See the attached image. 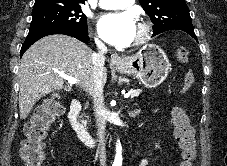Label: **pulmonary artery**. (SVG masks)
<instances>
[{
	"mask_svg": "<svg viewBox=\"0 0 227 166\" xmlns=\"http://www.w3.org/2000/svg\"><path fill=\"white\" fill-rule=\"evenodd\" d=\"M134 0H99V6L103 9H122L131 6Z\"/></svg>",
	"mask_w": 227,
	"mask_h": 166,
	"instance_id": "obj_1",
	"label": "pulmonary artery"
}]
</instances>
